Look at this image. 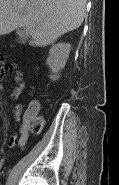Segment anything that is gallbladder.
Here are the masks:
<instances>
[{"mask_svg":"<svg viewBox=\"0 0 119 185\" xmlns=\"http://www.w3.org/2000/svg\"><path fill=\"white\" fill-rule=\"evenodd\" d=\"M17 35L19 36V42L25 43L29 38V32L24 29L17 30Z\"/></svg>","mask_w":119,"mask_h":185,"instance_id":"bac80fb5","label":"gallbladder"}]
</instances>
